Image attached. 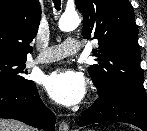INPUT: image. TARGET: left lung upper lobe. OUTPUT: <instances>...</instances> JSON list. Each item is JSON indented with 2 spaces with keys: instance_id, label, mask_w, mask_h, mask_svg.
Wrapping results in <instances>:
<instances>
[{
  "instance_id": "5c2ea615",
  "label": "left lung upper lobe",
  "mask_w": 147,
  "mask_h": 131,
  "mask_svg": "<svg viewBox=\"0 0 147 131\" xmlns=\"http://www.w3.org/2000/svg\"><path fill=\"white\" fill-rule=\"evenodd\" d=\"M84 16L82 35L97 39V64L89 67L99 97L121 91L146 94L140 68L138 28L128 0H76Z\"/></svg>"
}]
</instances>
